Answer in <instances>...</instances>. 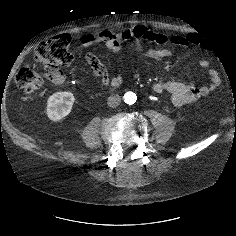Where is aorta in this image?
I'll return each mask as SVG.
<instances>
[{
    "mask_svg": "<svg viewBox=\"0 0 236 236\" xmlns=\"http://www.w3.org/2000/svg\"><path fill=\"white\" fill-rule=\"evenodd\" d=\"M136 100L137 96L134 92L129 91L124 94V102L126 104L132 105L136 102Z\"/></svg>",
    "mask_w": 236,
    "mask_h": 236,
    "instance_id": "aorta-1",
    "label": "aorta"
}]
</instances>
